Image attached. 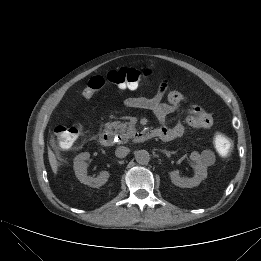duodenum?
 I'll return each instance as SVG.
<instances>
[{
    "label": "duodenum",
    "mask_w": 261,
    "mask_h": 261,
    "mask_svg": "<svg viewBox=\"0 0 261 261\" xmlns=\"http://www.w3.org/2000/svg\"><path fill=\"white\" fill-rule=\"evenodd\" d=\"M154 137H158L157 130H149L142 133H138L136 136V141L143 142ZM99 141L104 146H111L114 144V136L111 131L103 130L99 134Z\"/></svg>",
    "instance_id": "1"
}]
</instances>
